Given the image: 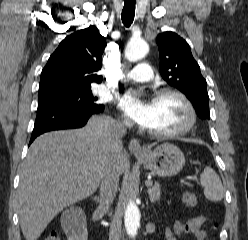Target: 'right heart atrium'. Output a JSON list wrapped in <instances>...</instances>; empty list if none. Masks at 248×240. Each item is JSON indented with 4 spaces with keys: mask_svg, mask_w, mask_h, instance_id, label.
<instances>
[{
    "mask_svg": "<svg viewBox=\"0 0 248 240\" xmlns=\"http://www.w3.org/2000/svg\"><path fill=\"white\" fill-rule=\"evenodd\" d=\"M123 123L128 125L129 124V121L127 119H123Z\"/></svg>",
    "mask_w": 248,
    "mask_h": 240,
    "instance_id": "obj_1",
    "label": "right heart atrium"
}]
</instances>
